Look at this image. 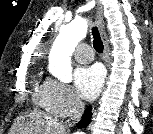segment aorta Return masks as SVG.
I'll return each mask as SVG.
<instances>
[{
    "label": "aorta",
    "instance_id": "aorta-1",
    "mask_svg": "<svg viewBox=\"0 0 153 134\" xmlns=\"http://www.w3.org/2000/svg\"><path fill=\"white\" fill-rule=\"evenodd\" d=\"M87 33V21L75 18L60 29L49 55V69L53 76L63 83L72 81L71 55Z\"/></svg>",
    "mask_w": 153,
    "mask_h": 134
}]
</instances>
